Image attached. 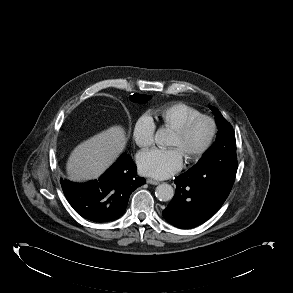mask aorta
<instances>
[{
    "label": "aorta",
    "mask_w": 293,
    "mask_h": 293,
    "mask_svg": "<svg viewBox=\"0 0 293 293\" xmlns=\"http://www.w3.org/2000/svg\"><path fill=\"white\" fill-rule=\"evenodd\" d=\"M171 133L168 129H158L155 134V141L159 146L169 145ZM155 195L160 201H170L174 196L173 187L167 183L160 184L156 187Z\"/></svg>",
    "instance_id": "762f6f07"
}]
</instances>
